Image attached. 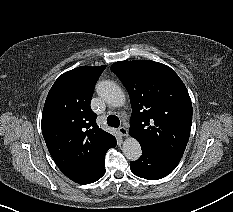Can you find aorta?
Wrapping results in <instances>:
<instances>
[{
  "label": "aorta",
  "mask_w": 233,
  "mask_h": 212,
  "mask_svg": "<svg viewBox=\"0 0 233 212\" xmlns=\"http://www.w3.org/2000/svg\"><path fill=\"white\" fill-rule=\"evenodd\" d=\"M96 91L107 104L113 107H120L125 103L124 92L115 82L100 81L96 85ZM122 151L125 157L131 161L138 160L142 154L140 143L132 137L123 142Z\"/></svg>",
  "instance_id": "obj_1"
}]
</instances>
